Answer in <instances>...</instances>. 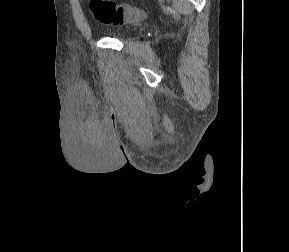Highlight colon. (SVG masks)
I'll return each instance as SVG.
<instances>
[{
    "instance_id": "obj_1",
    "label": "colon",
    "mask_w": 289,
    "mask_h": 252,
    "mask_svg": "<svg viewBox=\"0 0 289 252\" xmlns=\"http://www.w3.org/2000/svg\"><path fill=\"white\" fill-rule=\"evenodd\" d=\"M89 8L94 19L105 25L118 26L145 17L143 12L129 5L110 0H90Z\"/></svg>"
}]
</instances>
